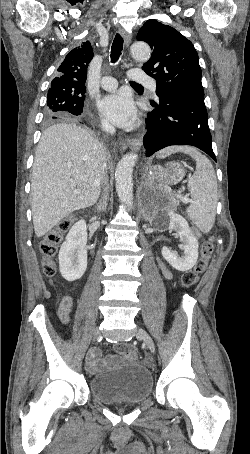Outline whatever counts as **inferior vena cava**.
<instances>
[{"label":"inferior vena cava","mask_w":250,"mask_h":454,"mask_svg":"<svg viewBox=\"0 0 250 454\" xmlns=\"http://www.w3.org/2000/svg\"><path fill=\"white\" fill-rule=\"evenodd\" d=\"M102 127L104 129V131H106L107 133H110V134H114L115 133V129L113 126H111L109 123L105 122L102 124ZM105 179V178H104Z\"/></svg>","instance_id":"inferior-vena-cava-1"}]
</instances>
